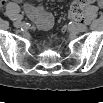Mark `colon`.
Instances as JSON below:
<instances>
[{"label":"colon","mask_w":103,"mask_h":103,"mask_svg":"<svg viewBox=\"0 0 103 103\" xmlns=\"http://www.w3.org/2000/svg\"><path fill=\"white\" fill-rule=\"evenodd\" d=\"M87 6L86 1L83 0H76L71 4L70 7V17L74 21H80L83 17V13L85 11V8Z\"/></svg>","instance_id":"colon-1"}]
</instances>
